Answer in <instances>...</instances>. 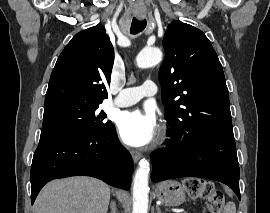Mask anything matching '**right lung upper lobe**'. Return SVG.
I'll list each match as a JSON object with an SVG mask.
<instances>
[{
	"mask_svg": "<svg viewBox=\"0 0 270 213\" xmlns=\"http://www.w3.org/2000/svg\"><path fill=\"white\" fill-rule=\"evenodd\" d=\"M114 50L105 28L96 25L77 33L52 71L45 106L63 101L102 103L108 98Z\"/></svg>",
	"mask_w": 270,
	"mask_h": 213,
	"instance_id": "cb5924a9",
	"label": "right lung upper lobe"
}]
</instances>
